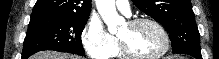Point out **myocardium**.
<instances>
[{"label":"myocardium","mask_w":219,"mask_h":59,"mask_svg":"<svg viewBox=\"0 0 219 59\" xmlns=\"http://www.w3.org/2000/svg\"><path fill=\"white\" fill-rule=\"evenodd\" d=\"M127 24L129 26H137L140 24L152 25L153 27H155L158 30V32L162 36L163 46L158 52H156L150 56H138V55L133 54L128 49V47L125 45V43L118 37L117 38L118 45H119L120 54L122 55V57H124L125 59H159L168 53V51L170 49V36H169L167 30L164 28V26L160 22H158L157 20H155L153 18L140 17V18H135V19L130 20Z\"/></svg>","instance_id":"1"}]
</instances>
